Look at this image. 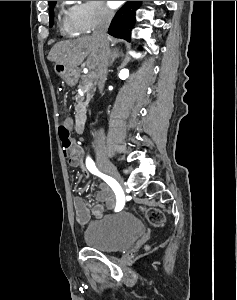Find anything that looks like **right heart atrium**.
I'll return each mask as SVG.
<instances>
[{"instance_id":"1","label":"right heart atrium","mask_w":237,"mask_h":300,"mask_svg":"<svg viewBox=\"0 0 237 300\" xmlns=\"http://www.w3.org/2000/svg\"><path fill=\"white\" fill-rule=\"evenodd\" d=\"M71 24L78 34H87L114 19V12L104 1H78L68 10Z\"/></svg>"}]
</instances>
